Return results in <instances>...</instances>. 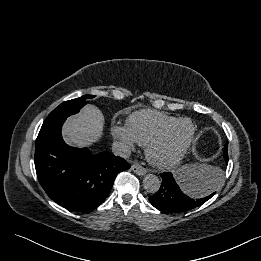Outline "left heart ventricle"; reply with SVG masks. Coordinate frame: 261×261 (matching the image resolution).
Returning <instances> with one entry per match:
<instances>
[{"label": "left heart ventricle", "mask_w": 261, "mask_h": 261, "mask_svg": "<svg viewBox=\"0 0 261 261\" xmlns=\"http://www.w3.org/2000/svg\"><path fill=\"white\" fill-rule=\"evenodd\" d=\"M191 132V125L187 122L178 124L156 148V155L160 158H169L176 154L185 144Z\"/></svg>", "instance_id": "obj_1"}]
</instances>
